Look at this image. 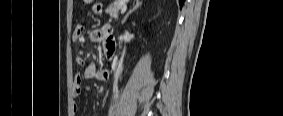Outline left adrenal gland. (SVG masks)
<instances>
[{
  "label": "left adrenal gland",
  "mask_w": 283,
  "mask_h": 116,
  "mask_svg": "<svg viewBox=\"0 0 283 116\" xmlns=\"http://www.w3.org/2000/svg\"><path fill=\"white\" fill-rule=\"evenodd\" d=\"M141 5H142V3L140 1H137L136 4L134 5V7L123 18L122 24H124L127 21L129 15L132 14L134 11H136L139 7H141Z\"/></svg>",
  "instance_id": "1"
}]
</instances>
